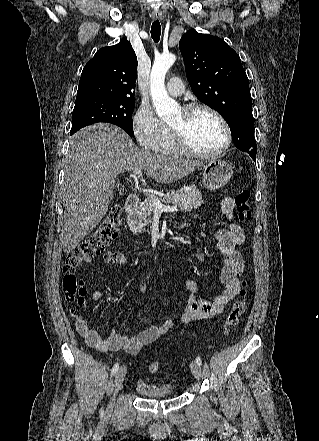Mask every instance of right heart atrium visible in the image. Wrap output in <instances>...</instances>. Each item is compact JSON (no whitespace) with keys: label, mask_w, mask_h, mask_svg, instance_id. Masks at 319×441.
<instances>
[{"label":"right heart atrium","mask_w":319,"mask_h":441,"mask_svg":"<svg viewBox=\"0 0 319 441\" xmlns=\"http://www.w3.org/2000/svg\"><path fill=\"white\" fill-rule=\"evenodd\" d=\"M132 131L139 147L157 151L165 138V125L156 117L152 107L141 104L132 117Z\"/></svg>","instance_id":"right-heart-atrium-1"}]
</instances>
